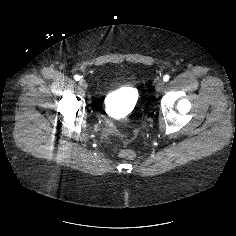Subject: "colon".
<instances>
[{
  "label": "colon",
  "mask_w": 236,
  "mask_h": 236,
  "mask_svg": "<svg viewBox=\"0 0 236 236\" xmlns=\"http://www.w3.org/2000/svg\"><path fill=\"white\" fill-rule=\"evenodd\" d=\"M135 155L134 151L126 149L120 152V156L125 158H133Z\"/></svg>",
  "instance_id": "5ec220e1"
}]
</instances>
